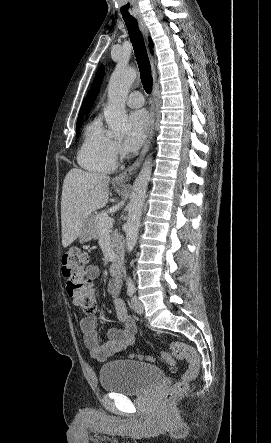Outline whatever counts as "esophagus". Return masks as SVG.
Masks as SVG:
<instances>
[{"mask_svg":"<svg viewBox=\"0 0 271 443\" xmlns=\"http://www.w3.org/2000/svg\"><path fill=\"white\" fill-rule=\"evenodd\" d=\"M135 18L139 23L140 30L142 31L144 36L147 37L148 36V29H147V26L144 22L143 16L142 15H135ZM151 65H152V71H153V78H154V81H156L157 75H156V70H155L153 58H151ZM155 95H156V87L153 89L152 98L150 101V120H149L148 136H147L145 144L140 152V155L138 156L137 160H135L134 163H132V165L130 167H128L126 170H124V172L119 173V175H116V177H114L112 180L114 183L119 184L120 186L126 185L131 180V178L134 177V175L137 173L138 169L142 165L143 160L150 148L151 140L153 137L155 118H156L155 103H154Z\"/></svg>","mask_w":271,"mask_h":443,"instance_id":"obj_1","label":"esophagus"}]
</instances>
